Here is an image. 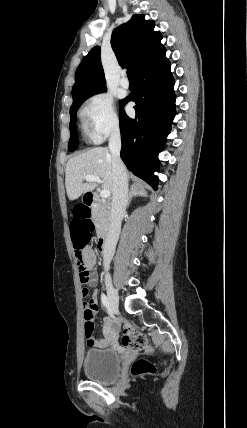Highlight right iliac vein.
Returning <instances> with one entry per match:
<instances>
[{
    "label": "right iliac vein",
    "mask_w": 247,
    "mask_h": 428,
    "mask_svg": "<svg viewBox=\"0 0 247 428\" xmlns=\"http://www.w3.org/2000/svg\"><path fill=\"white\" fill-rule=\"evenodd\" d=\"M107 295L109 307L112 312L116 313L119 306V297L116 289L113 287L112 282L109 278L106 279Z\"/></svg>",
    "instance_id": "right-iliac-vein-1"
}]
</instances>
